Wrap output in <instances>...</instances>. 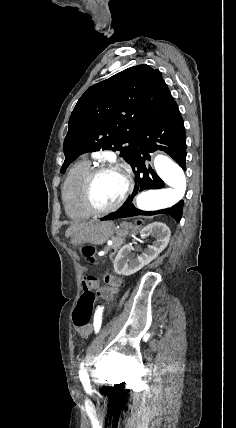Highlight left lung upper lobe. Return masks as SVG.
<instances>
[{
	"instance_id": "obj_1",
	"label": "left lung upper lobe",
	"mask_w": 236,
	"mask_h": 428,
	"mask_svg": "<svg viewBox=\"0 0 236 428\" xmlns=\"http://www.w3.org/2000/svg\"><path fill=\"white\" fill-rule=\"evenodd\" d=\"M173 101L160 71L148 65L130 67L89 87L69 119L61 173L79 155L100 149L118 150L132 165L142 129Z\"/></svg>"
}]
</instances>
